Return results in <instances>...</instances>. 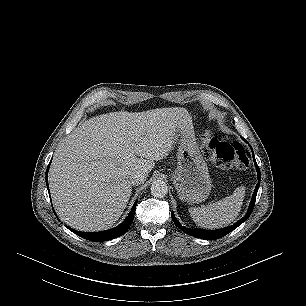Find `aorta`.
Instances as JSON below:
<instances>
[{"mask_svg": "<svg viewBox=\"0 0 306 306\" xmlns=\"http://www.w3.org/2000/svg\"><path fill=\"white\" fill-rule=\"evenodd\" d=\"M151 194L157 198H163L168 192V186L164 181L156 180L151 185Z\"/></svg>", "mask_w": 306, "mask_h": 306, "instance_id": "aorta-1", "label": "aorta"}]
</instances>
